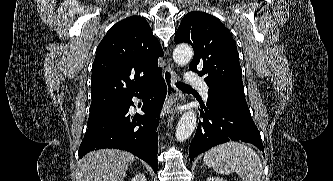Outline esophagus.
<instances>
[{"label":"esophagus","instance_id":"obj_1","mask_svg":"<svg viewBox=\"0 0 333 181\" xmlns=\"http://www.w3.org/2000/svg\"><path fill=\"white\" fill-rule=\"evenodd\" d=\"M167 54H169V50L167 51ZM164 80L167 86V97L160 114L161 118L171 113L174 110L176 104L182 100L181 94L178 92V90L175 87V81L177 80V73L170 63H168L164 71Z\"/></svg>","mask_w":333,"mask_h":181}]
</instances>
